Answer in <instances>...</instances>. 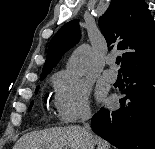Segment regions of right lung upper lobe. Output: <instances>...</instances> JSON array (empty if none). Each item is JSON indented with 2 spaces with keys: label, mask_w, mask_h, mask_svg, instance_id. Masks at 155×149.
Here are the masks:
<instances>
[{
  "label": "right lung upper lobe",
  "mask_w": 155,
  "mask_h": 149,
  "mask_svg": "<svg viewBox=\"0 0 155 149\" xmlns=\"http://www.w3.org/2000/svg\"><path fill=\"white\" fill-rule=\"evenodd\" d=\"M109 50H123L121 70L155 62V21L144 0H112L99 19ZM80 38L79 22L66 23L48 47L41 77H46L61 56Z\"/></svg>",
  "instance_id": "right-lung-upper-lobe-1"
}]
</instances>
